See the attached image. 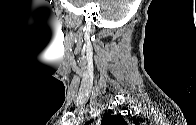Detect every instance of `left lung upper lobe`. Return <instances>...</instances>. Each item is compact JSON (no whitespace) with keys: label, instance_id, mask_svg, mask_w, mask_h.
<instances>
[{"label":"left lung upper lobe","instance_id":"1","mask_svg":"<svg viewBox=\"0 0 196 125\" xmlns=\"http://www.w3.org/2000/svg\"><path fill=\"white\" fill-rule=\"evenodd\" d=\"M102 125H126L122 116L106 115L102 119Z\"/></svg>","mask_w":196,"mask_h":125}]
</instances>
